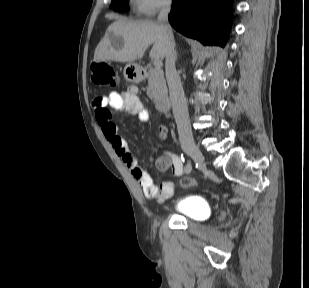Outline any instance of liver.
Wrapping results in <instances>:
<instances>
[{
    "label": "liver",
    "mask_w": 309,
    "mask_h": 288,
    "mask_svg": "<svg viewBox=\"0 0 309 288\" xmlns=\"http://www.w3.org/2000/svg\"><path fill=\"white\" fill-rule=\"evenodd\" d=\"M111 36L121 37L123 47L115 48ZM152 44L150 57L163 59L166 56L167 44L159 23L118 19L108 27L105 36L97 45L94 61L134 62L140 59Z\"/></svg>",
    "instance_id": "liver-1"
}]
</instances>
